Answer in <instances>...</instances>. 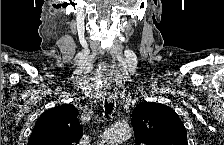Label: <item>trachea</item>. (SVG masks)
Listing matches in <instances>:
<instances>
[{"label": "trachea", "mask_w": 224, "mask_h": 145, "mask_svg": "<svg viewBox=\"0 0 224 145\" xmlns=\"http://www.w3.org/2000/svg\"><path fill=\"white\" fill-rule=\"evenodd\" d=\"M110 95H111V91H110ZM109 96V95H108ZM114 107V100L113 99H109V100H105V110L107 114H110L113 110Z\"/></svg>", "instance_id": "1"}]
</instances>
